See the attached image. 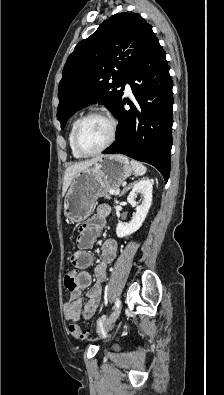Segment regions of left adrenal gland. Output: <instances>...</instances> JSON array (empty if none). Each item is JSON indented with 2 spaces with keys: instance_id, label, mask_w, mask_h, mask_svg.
Returning a JSON list of instances; mask_svg holds the SVG:
<instances>
[{
  "instance_id": "a2214340",
  "label": "left adrenal gland",
  "mask_w": 224,
  "mask_h": 395,
  "mask_svg": "<svg viewBox=\"0 0 224 395\" xmlns=\"http://www.w3.org/2000/svg\"><path fill=\"white\" fill-rule=\"evenodd\" d=\"M131 186H132V184H130L128 187H125V188L122 190L120 196L123 195L128 189H130Z\"/></svg>"
}]
</instances>
